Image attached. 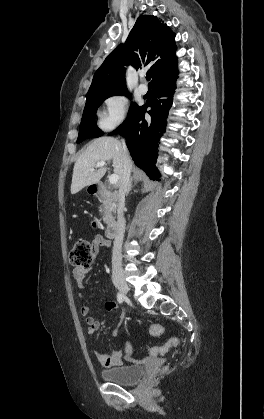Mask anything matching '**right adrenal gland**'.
<instances>
[{
	"instance_id": "obj_1",
	"label": "right adrenal gland",
	"mask_w": 264,
	"mask_h": 419,
	"mask_svg": "<svg viewBox=\"0 0 264 419\" xmlns=\"http://www.w3.org/2000/svg\"><path fill=\"white\" fill-rule=\"evenodd\" d=\"M132 182H133V177H131V179H130V182H129V185H128V188H127V195L129 194V192L133 188Z\"/></svg>"
}]
</instances>
